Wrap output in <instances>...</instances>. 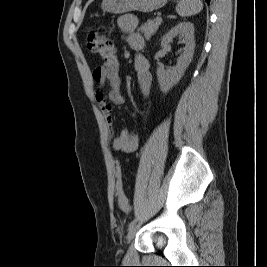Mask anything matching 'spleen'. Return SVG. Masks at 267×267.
Segmentation results:
<instances>
[{"label": "spleen", "instance_id": "obj_1", "mask_svg": "<svg viewBox=\"0 0 267 267\" xmlns=\"http://www.w3.org/2000/svg\"><path fill=\"white\" fill-rule=\"evenodd\" d=\"M203 9L201 0H180L176 12L181 17H188L199 13Z\"/></svg>", "mask_w": 267, "mask_h": 267}]
</instances>
